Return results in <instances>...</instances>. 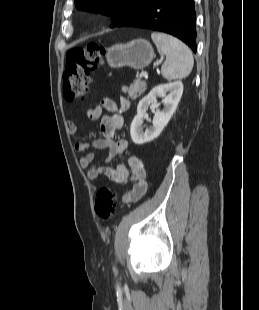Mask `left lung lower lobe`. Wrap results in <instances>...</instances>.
Here are the masks:
<instances>
[{
  "instance_id": "1",
  "label": "left lung lower lobe",
  "mask_w": 259,
  "mask_h": 310,
  "mask_svg": "<svg viewBox=\"0 0 259 310\" xmlns=\"http://www.w3.org/2000/svg\"><path fill=\"white\" fill-rule=\"evenodd\" d=\"M122 26L147 28L171 34L196 52L194 0H151L114 27Z\"/></svg>"
}]
</instances>
